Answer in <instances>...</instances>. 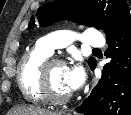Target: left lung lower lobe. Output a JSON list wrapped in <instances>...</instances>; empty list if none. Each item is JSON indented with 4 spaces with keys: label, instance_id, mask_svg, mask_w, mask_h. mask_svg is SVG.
Returning a JSON list of instances; mask_svg holds the SVG:
<instances>
[{
    "label": "left lung lower lobe",
    "instance_id": "1",
    "mask_svg": "<svg viewBox=\"0 0 131 115\" xmlns=\"http://www.w3.org/2000/svg\"><path fill=\"white\" fill-rule=\"evenodd\" d=\"M111 62L102 78L75 111L84 115H131V16L106 38ZM96 63L91 67L93 70Z\"/></svg>",
    "mask_w": 131,
    "mask_h": 115
}]
</instances>
